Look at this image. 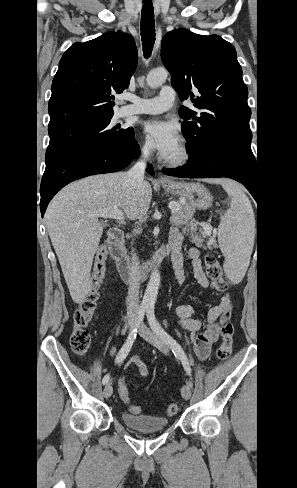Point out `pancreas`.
<instances>
[{
    "label": "pancreas",
    "instance_id": "1",
    "mask_svg": "<svg viewBox=\"0 0 297 488\" xmlns=\"http://www.w3.org/2000/svg\"><path fill=\"white\" fill-rule=\"evenodd\" d=\"M171 203L177 206V209L172 211V216H171L172 224L177 226H183V225L190 226L192 241L197 244H200L202 239L199 238L194 231V226L199 224V222H197L193 218L194 208L190 205L184 206L181 202L172 201Z\"/></svg>",
    "mask_w": 297,
    "mask_h": 488
}]
</instances>
